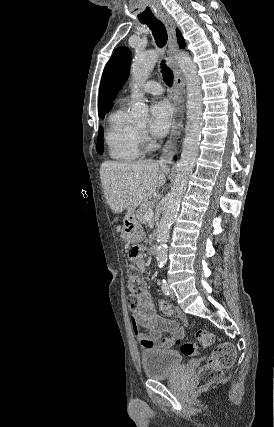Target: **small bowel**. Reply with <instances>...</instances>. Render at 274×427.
<instances>
[{
    "mask_svg": "<svg viewBox=\"0 0 274 427\" xmlns=\"http://www.w3.org/2000/svg\"><path fill=\"white\" fill-rule=\"evenodd\" d=\"M136 264L141 271L149 268L144 255L140 252L135 258ZM161 312H166L169 308L167 299L159 300ZM169 314V313H168ZM180 318L184 317L178 314ZM131 329L136 336L137 342L144 351L156 348H171L176 340L184 336V329L172 318L164 317L155 312L151 297L147 291H143L139 296L138 305L132 310L130 318ZM145 327L150 335L141 331Z\"/></svg>",
    "mask_w": 274,
    "mask_h": 427,
    "instance_id": "small-bowel-1",
    "label": "small bowel"
}]
</instances>
